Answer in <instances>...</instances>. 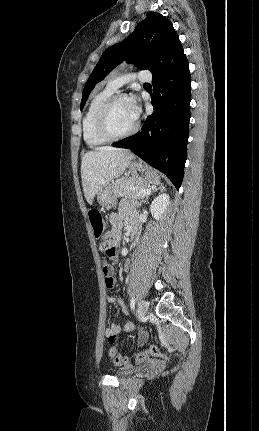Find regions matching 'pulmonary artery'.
<instances>
[{"label": "pulmonary artery", "instance_id": "e3ab8cb5", "mask_svg": "<svg viewBox=\"0 0 259 431\" xmlns=\"http://www.w3.org/2000/svg\"><path fill=\"white\" fill-rule=\"evenodd\" d=\"M136 77L140 82H149L151 80V75L147 71L139 72ZM128 79L129 78L125 76L112 77L108 81V87L115 91L120 88L125 82H127Z\"/></svg>", "mask_w": 259, "mask_h": 431}]
</instances>
